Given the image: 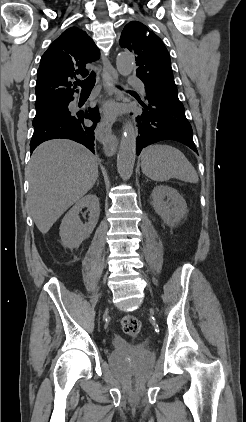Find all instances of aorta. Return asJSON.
Returning <instances> with one entry per match:
<instances>
[{
	"instance_id": "762f6f07",
	"label": "aorta",
	"mask_w": 246,
	"mask_h": 422,
	"mask_svg": "<svg viewBox=\"0 0 246 422\" xmlns=\"http://www.w3.org/2000/svg\"><path fill=\"white\" fill-rule=\"evenodd\" d=\"M118 72L124 76L131 74L135 67V60L129 53H119L116 58ZM136 157V130L131 120L123 126L120 149L117 156V169L123 180H128L132 173Z\"/></svg>"
}]
</instances>
